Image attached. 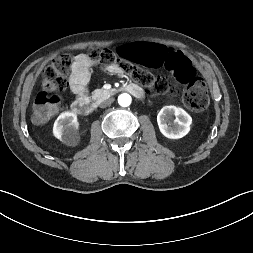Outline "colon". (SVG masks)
<instances>
[{"label":"colon","instance_id":"5ec220e1","mask_svg":"<svg viewBox=\"0 0 253 253\" xmlns=\"http://www.w3.org/2000/svg\"><path fill=\"white\" fill-rule=\"evenodd\" d=\"M86 56L93 62L109 67L117 65L121 71L129 74L152 94H174L176 84L165 76L154 74L140 67L157 68L169 76H175L178 82L185 84L184 105L192 111L200 112L207 108L209 98L205 82L196 76L194 68L178 48H167L164 44L148 40L141 43H122L116 50L91 49ZM74 58L70 55L56 57L43 71L42 91L34 101V120L43 124L58 111L60 98L58 93L67 86Z\"/></svg>","mask_w":253,"mask_h":253}]
</instances>
